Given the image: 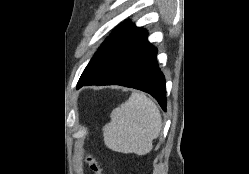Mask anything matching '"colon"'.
<instances>
[{"instance_id": "1", "label": "colon", "mask_w": 249, "mask_h": 174, "mask_svg": "<svg viewBox=\"0 0 249 174\" xmlns=\"http://www.w3.org/2000/svg\"><path fill=\"white\" fill-rule=\"evenodd\" d=\"M87 162L89 164V168H90L92 173L102 174V167L100 165L99 160L97 159V157L94 154H92V153L87 154Z\"/></svg>"}]
</instances>
